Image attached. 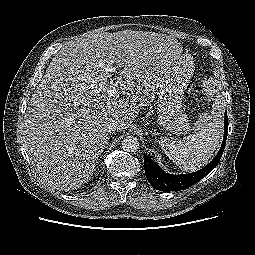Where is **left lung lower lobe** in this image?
<instances>
[{
    "label": "left lung lower lobe",
    "instance_id": "obj_1",
    "mask_svg": "<svg viewBox=\"0 0 255 255\" xmlns=\"http://www.w3.org/2000/svg\"><path fill=\"white\" fill-rule=\"evenodd\" d=\"M228 130V117L225 113L224 119V139L220 150L218 151L215 158L204 168L194 173L174 175L165 173L158 164L153 161L148 155H144V167L145 174L150 184L157 190L164 192L185 190L190 186L200 181L203 177L208 175L219 163L220 158L225 148L226 138Z\"/></svg>",
    "mask_w": 255,
    "mask_h": 255
}]
</instances>
